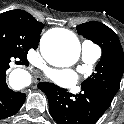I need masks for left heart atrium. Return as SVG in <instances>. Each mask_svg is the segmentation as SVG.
Returning a JSON list of instances; mask_svg holds the SVG:
<instances>
[{"label":"left heart atrium","instance_id":"39dd6f15","mask_svg":"<svg viewBox=\"0 0 124 124\" xmlns=\"http://www.w3.org/2000/svg\"><path fill=\"white\" fill-rule=\"evenodd\" d=\"M48 78L61 87H71L77 83L79 76L70 69H51L47 72Z\"/></svg>","mask_w":124,"mask_h":124}]
</instances>
